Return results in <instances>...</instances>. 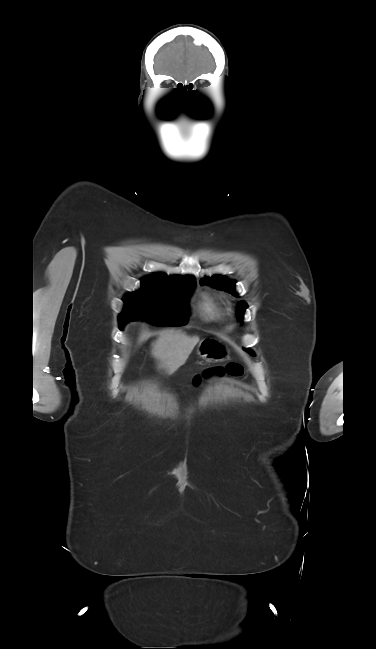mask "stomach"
I'll use <instances>...</instances> for the list:
<instances>
[{"label":"stomach","instance_id":"obj_1","mask_svg":"<svg viewBox=\"0 0 376 649\" xmlns=\"http://www.w3.org/2000/svg\"><path fill=\"white\" fill-rule=\"evenodd\" d=\"M197 353L207 361L224 362L230 359L228 347L214 338L202 340L198 345Z\"/></svg>","mask_w":376,"mask_h":649}]
</instances>
